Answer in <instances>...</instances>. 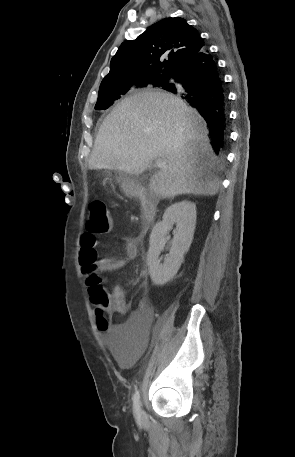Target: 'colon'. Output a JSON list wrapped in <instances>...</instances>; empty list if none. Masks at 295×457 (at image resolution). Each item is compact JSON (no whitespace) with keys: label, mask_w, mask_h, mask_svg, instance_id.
Instances as JSON below:
<instances>
[{"label":"colon","mask_w":295,"mask_h":457,"mask_svg":"<svg viewBox=\"0 0 295 457\" xmlns=\"http://www.w3.org/2000/svg\"><path fill=\"white\" fill-rule=\"evenodd\" d=\"M86 227L88 231L92 233H106L110 230L111 220L103 201L95 199L88 204ZM82 272L86 276L90 286L93 302L95 304V314L98 327L100 331L106 332L109 328V322L107 319L109 299L101 286V280L97 273V267L86 262L82 267Z\"/></svg>","instance_id":"obj_1"}]
</instances>
